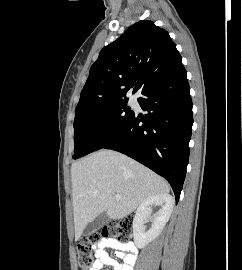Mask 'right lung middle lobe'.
Here are the masks:
<instances>
[{
	"mask_svg": "<svg viewBox=\"0 0 242 270\" xmlns=\"http://www.w3.org/2000/svg\"><path fill=\"white\" fill-rule=\"evenodd\" d=\"M127 103L112 101L75 113L74 159L99 150L125 126L134 114Z\"/></svg>",
	"mask_w": 242,
	"mask_h": 270,
	"instance_id": "1",
	"label": "right lung middle lobe"
}]
</instances>
